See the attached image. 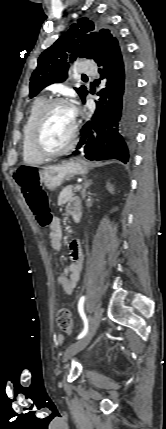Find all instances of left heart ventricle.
I'll use <instances>...</instances> for the list:
<instances>
[{
  "mask_svg": "<svg viewBox=\"0 0 166 429\" xmlns=\"http://www.w3.org/2000/svg\"><path fill=\"white\" fill-rule=\"evenodd\" d=\"M73 126V112L66 105H56L45 115L40 131L39 144L47 151L63 148L69 141Z\"/></svg>",
  "mask_w": 166,
  "mask_h": 429,
  "instance_id": "obj_1",
  "label": "left heart ventricle"
}]
</instances>
